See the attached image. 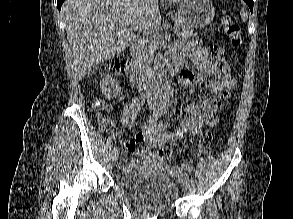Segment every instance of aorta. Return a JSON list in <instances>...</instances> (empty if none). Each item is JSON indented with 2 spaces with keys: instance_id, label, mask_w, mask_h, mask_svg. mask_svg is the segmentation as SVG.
<instances>
[{
  "instance_id": "obj_1",
  "label": "aorta",
  "mask_w": 293,
  "mask_h": 219,
  "mask_svg": "<svg viewBox=\"0 0 293 219\" xmlns=\"http://www.w3.org/2000/svg\"><path fill=\"white\" fill-rule=\"evenodd\" d=\"M154 72L157 75L162 92L166 93L170 89V85L164 71L163 56L160 53H158L154 61Z\"/></svg>"
}]
</instances>
